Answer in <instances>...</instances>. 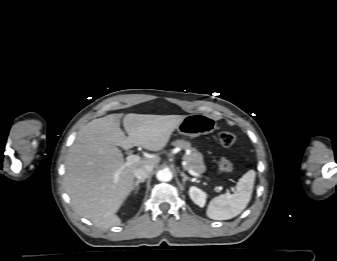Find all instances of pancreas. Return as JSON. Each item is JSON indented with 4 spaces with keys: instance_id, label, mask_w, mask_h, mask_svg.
Wrapping results in <instances>:
<instances>
[{
    "instance_id": "obj_1",
    "label": "pancreas",
    "mask_w": 337,
    "mask_h": 261,
    "mask_svg": "<svg viewBox=\"0 0 337 261\" xmlns=\"http://www.w3.org/2000/svg\"><path fill=\"white\" fill-rule=\"evenodd\" d=\"M175 147H181L182 149L189 151V154L183 156V160L186 162L185 169H192L197 173H203L206 171V166L203 162V157L195 148L191 147V144L184 140H177L173 143Z\"/></svg>"
}]
</instances>
